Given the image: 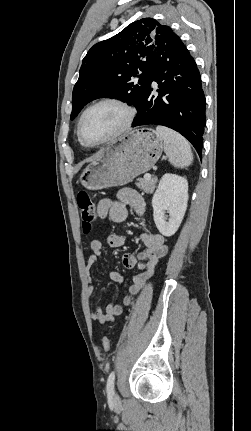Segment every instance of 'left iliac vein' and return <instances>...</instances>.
I'll return each mask as SVG.
<instances>
[{
	"instance_id": "1",
	"label": "left iliac vein",
	"mask_w": 251,
	"mask_h": 431,
	"mask_svg": "<svg viewBox=\"0 0 251 431\" xmlns=\"http://www.w3.org/2000/svg\"><path fill=\"white\" fill-rule=\"evenodd\" d=\"M115 399L117 400V399H118V396H116V397H115Z\"/></svg>"
}]
</instances>
